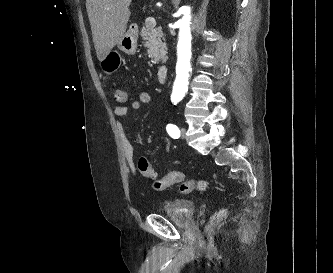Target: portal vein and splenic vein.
Wrapping results in <instances>:
<instances>
[{"mask_svg": "<svg viewBox=\"0 0 333 273\" xmlns=\"http://www.w3.org/2000/svg\"><path fill=\"white\" fill-rule=\"evenodd\" d=\"M146 22L149 23L150 26L155 27L156 26V20L153 17H149L146 19Z\"/></svg>", "mask_w": 333, "mask_h": 273, "instance_id": "obj_1", "label": "portal vein and splenic vein"}]
</instances>
